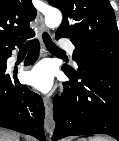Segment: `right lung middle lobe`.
Masks as SVG:
<instances>
[{"label":"right lung middle lobe","mask_w":119,"mask_h":141,"mask_svg":"<svg viewBox=\"0 0 119 141\" xmlns=\"http://www.w3.org/2000/svg\"><path fill=\"white\" fill-rule=\"evenodd\" d=\"M1 66H2V67L6 66V65H5V62L2 61V60H0V67H1Z\"/></svg>","instance_id":"1"}]
</instances>
